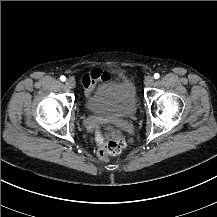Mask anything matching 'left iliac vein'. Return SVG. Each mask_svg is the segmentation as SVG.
I'll return each instance as SVG.
<instances>
[{
	"label": "left iliac vein",
	"mask_w": 217,
	"mask_h": 217,
	"mask_svg": "<svg viewBox=\"0 0 217 217\" xmlns=\"http://www.w3.org/2000/svg\"><path fill=\"white\" fill-rule=\"evenodd\" d=\"M154 81H155L154 77L149 75L145 78L144 83L146 86H152L154 84Z\"/></svg>",
	"instance_id": "left-iliac-vein-1"
}]
</instances>
